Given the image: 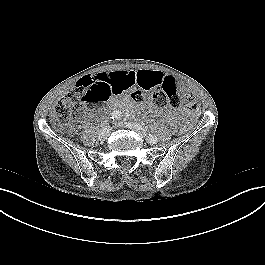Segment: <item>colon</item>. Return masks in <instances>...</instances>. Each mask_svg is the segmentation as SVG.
Here are the masks:
<instances>
[{
	"label": "colon",
	"mask_w": 265,
	"mask_h": 265,
	"mask_svg": "<svg viewBox=\"0 0 265 265\" xmlns=\"http://www.w3.org/2000/svg\"><path fill=\"white\" fill-rule=\"evenodd\" d=\"M108 78L105 76H85L79 79L75 87L69 90L53 108L52 116L59 122L69 120L74 107L79 99L85 102L105 101L112 95L108 86ZM152 91L151 102L157 108H165L170 105L178 108L183 105L188 113L195 114L201 110V101L188 90H181L178 81L166 76L160 87ZM145 94L142 90H136L131 94L132 100L141 104Z\"/></svg>",
	"instance_id": "obj_1"
}]
</instances>
